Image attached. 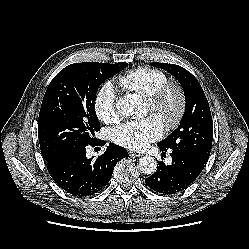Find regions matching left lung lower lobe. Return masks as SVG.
<instances>
[{"label": "left lung lower lobe", "instance_id": "left-lung-lower-lobe-1", "mask_svg": "<svg viewBox=\"0 0 249 249\" xmlns=\"http://www.w3.org/2000/svg\"><path fill=\"white\" fill-rule=\"evenodd\" d=\"M162 153L168 149L160 147ZM172 164L158 162L157 171L145 179L150 189L161 194H175L189 187L204 168L194 156L177 150H170Z\"/></svg>", "mask_w": 249, "mask_h": 249}]
</instances>
